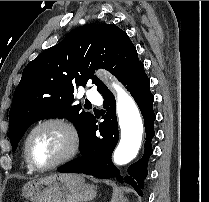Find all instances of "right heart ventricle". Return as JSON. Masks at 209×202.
I'll use <instances>...</instances> for the list:
<instances>
[{
    "instance_id": "1",
    "label": "right heart ventricle",
    "mask_w": 209,
    "mask_h": 202,
    "mask_svg": "<svg viewBox=\"0 0 209 202\" xmlns=\"http://www.w3.org/2000/svg\"><path fill=\"white\" fill-rule=\"evenodd\" d=\"M24 161H25V166H26L27 172L32 173L33 170L28 166V164H27V162H26V160H25V157H24Z\"/></svg>"
}]
</instances>
